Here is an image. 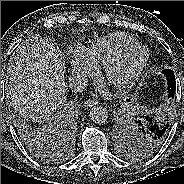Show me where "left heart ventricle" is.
<instances>
[{"label":"left heart ventricle","instance_id":"1","mask_svg":"<svg viewBox=\"0 0 184 184\" xmlns=\"http://www.w3.org/2000/svg\"><path fill=\"white\" fill-rule=\"evenodd\" d=\"M142 58L141 51L132 52L120 66H118L112 73L114 80H121L127 74H129L139 63Z\"/></svg>","mask_w":184,"mask_h":184}]
</instances>
